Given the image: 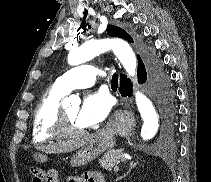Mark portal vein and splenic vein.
<instances>
[{
    "instance_id": "1",
    "label": "portal vein and splenic vein",
    "mask_w": 211,
    "mask_h": 182,
    "mask_svg": "<svg viewBox=\"0 0 211 182\" xmlns=\"http://www.w3.org/2000/svg\"><path fill=\"white\" fill-rule=\"evenodd\" d=\"M114 171L115 172H118L119 171V168L116 166V167H114Z\"/></svg>"
}]
</instances>
